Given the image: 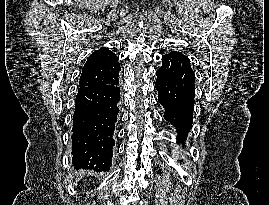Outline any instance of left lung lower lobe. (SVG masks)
I'll return each mask as SVG.
<instances>
[{"mask_svg":"<svg viewBox=\"0 0 269 205\" xmlns=\"http://www.w3.org/2000/svg\"><path fill=\"white\" fill-rule=\"evenodd\" d=\"M159 103L164 107V118L178 132L179 142L187 137L193 123L195 75L185 55L166 54L156 71Z\"/></svg>","mask_w":269,"mask_h":205,"instance_id":"obj_1","label":"left lung lower lobe"}]
</instances>
